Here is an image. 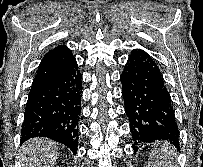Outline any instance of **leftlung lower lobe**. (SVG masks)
Wrapping results in <instances>:
<instances>
[{"label":"left lung lower lobe","mask_w":203,"mask_h":167,"mask_svg":"<svg viewBox=\"0 0 203 167\" xmlns=\"http://www.w3.org/2000/svg\"><path fill=\"white\" fill-rule=\"evenodd\" d=\"M120 80L134 151L138 146L162 140L179 149L170 95L153 58L143 50L131 51Z\"/></svg>","instance_id":"1"}]
</instances>
